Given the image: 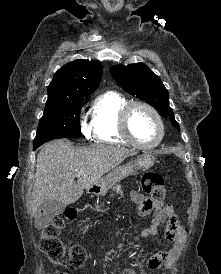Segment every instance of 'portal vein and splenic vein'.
<instances>
[{
  "mask_svg": "<svg viewBox=\"0 0 221 274\" xmlns=\"http://www.w3.org/2000/svg\"><path fill=\"white\" fill-rule=\"evenodd\" d=\"M81 175H83V172L79 171V172H77L76 177H80Z\"/></svg>",
  "mask_w": 221,
  "mask_h": 274,
  "instance_id": "portal-vein-and-splenic-vein-1",
  "label": "portal vein and splenic vein"
}]
</instances>
